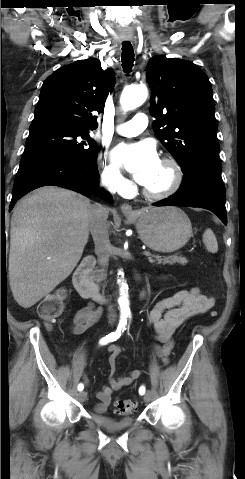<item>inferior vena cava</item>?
<instances>
[{"instance_id":"1","label":"inferior vena cava","mask_w":245,"mask_h":479,"mask_svg":"<svg viewBox=\"0 0 245 479\" xmlns=\"http://www.w3.org/2000/svg\"><path fill=\"white\" fill-rule=\"evenodd\" d=\"M104 185L111 190L113 184L106 181ZM109 209L101 204L94 203L88 211V226L95 244V253L97 255L98 264L104 272L108 267L111 244L108 234V218ZM109 318L114 320L116 313L112 305L109 306Z\"/></svg>"}]
</instances>
